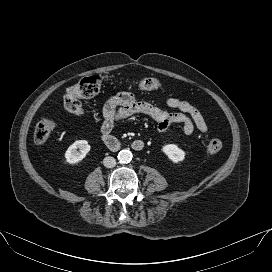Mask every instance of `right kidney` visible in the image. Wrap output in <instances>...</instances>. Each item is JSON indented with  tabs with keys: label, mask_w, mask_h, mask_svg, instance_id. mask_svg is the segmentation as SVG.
Returning a JSON list of instances; mask_svg holds the SVG:
<instances>
[{
	"label": "right kidney",
	"mask_w": 272,
	"mask_h": 272,
	"mask_svg": "<svg viewBox=\"0 0 272 272\" xmlns=\"http://www.w3.org/2000/svg\"><path fill=\"white\" fill-rule=\"evenodd\" d=\"M90 145L86 140H77L68 147L65 152L66 162L74 165L85 158L87 153L90 151Z\"/></svg>",
	"instance_id": "obj_1"
}]
</instances>
